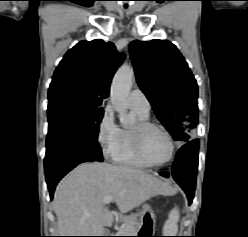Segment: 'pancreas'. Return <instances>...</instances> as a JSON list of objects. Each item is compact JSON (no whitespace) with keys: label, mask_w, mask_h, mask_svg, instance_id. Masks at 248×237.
Returning <instances> with one entry per match:
<instances>
[{"label":"pancreas","mask_w":248,"mask_h":237,"mask_svg":"<svg viewBox=\"0 0 248 237\" xmlns=\"http://www.w3.org/2000/svg\"><path fill=\"white\" fill-rule=\"evenodd\" d=\"M140 224L125 219L118 231V236H136L139 231Z\"/></svg>","instance_id":"1"}]
</instances>
